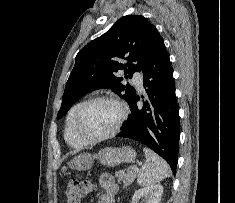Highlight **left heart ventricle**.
I'll return each mask as SVG.
<instances>
[{"instance_id": "1", "label": "left heart ventricle", "mask_w": 235, "mask_h": 203, "mask_svg": "<svg viewBox=\"0 0 235 203\" xmlns=\"http://www.w3.org/2000/svg\"><path fill=\"white\" fill-rule=\"evenodd\" d=\"M120 117V108L109 101L91 104L80 120V130L87 136L97 137L110 132Z\"/></svg>"}]
</instances>
